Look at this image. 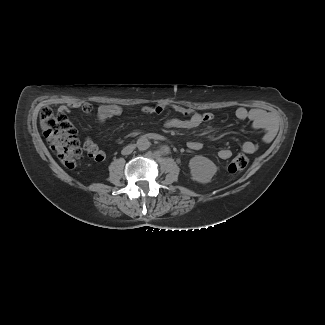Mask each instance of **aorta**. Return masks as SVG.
Returning <instances> with one entry per match:
<instances>
[{
  "mask_svg": "<svg viewBox=\"0 0 325 325\" xmlns=\"http://www.w3.org/2000/svg\"><path fill=\"white\" fill-rule=\"evenodd\" d=\"M136 145L140 151H145L150 147L151 143L147 138L141 137L137 140Z\"/></svg>",
  "mask_w": 325,
  "mask_h": 325,
  "instance_id": "obj_1",
  "label": "aorta"
}]
</instances>
